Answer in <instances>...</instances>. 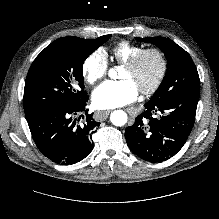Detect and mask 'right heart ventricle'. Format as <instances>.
Here are the masks:
<instances>
[{
    "label": "right heart ventricle",
    "mask_w": 219,
    "mask_h": 219,
    "mask_svg": "<svg viewBox=\"0 0 219 219\" xmlns=\"http://www.w3.org/2000/svg\"><path fill=\"white\" fill-rule=\"evenodd\" d=\"M141 45L134 44L127 40H122L111 49V58L118 64H123L141 51Z\"/></svg>",
    "instance_id": "1"
}]
</instances>
